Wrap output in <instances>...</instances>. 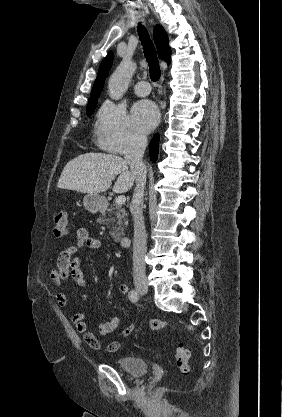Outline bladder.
I'll return each mask as SVG.
<instances>
[{"label": "bladder", "instance_id": "obj_1", "mask_svg": "<svg viewBox=\"0 0 282 417\" xmlns=\"http://www.w3.org/2000/svg\"><path fill=\"white\" fill-rule=\"evenodd\" d=\"M114 364L120 370L133 377L144 376L149 370L147 361L144 358L135 355L116 358Z\"/></svg>", "mask_w": 282, "mask_h": 417}]
</instances>
